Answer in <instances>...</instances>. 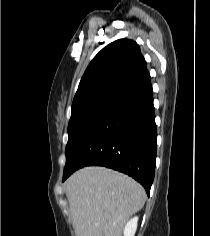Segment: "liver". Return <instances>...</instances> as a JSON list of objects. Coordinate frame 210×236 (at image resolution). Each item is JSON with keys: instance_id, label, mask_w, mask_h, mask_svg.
Here are the masks:
<instances>
[{"instance_id": "obj_1", "label": "liver", "mask_w": 210, "mask_h": 236, "mask_svg": "<svg viewBox=\"0 0 210 236\" xmlns=\"http://www.w3.org/2000/svg\"><path fill=\"white\" fill-rule=\"evenodd\" d=\"M76 236H121L124 224L146 201L131 177L104 167H85L66 182Z\"/></svg>"}]
</instances>
